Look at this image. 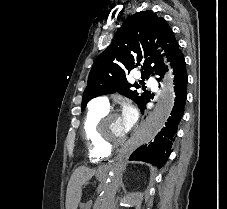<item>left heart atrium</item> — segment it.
I'll return each mask as SVG.
<instances>
[{"mask_svg":"<svg viewBox=\"0 0 227 209\" xmlns=\"http://www.w3.org/2000/svg\"><path fill=\"white\" fill-rule=\"evenodd\" d=\"M137 116L136 108L131 104H125L120 118L124 126L130 130L136 123Z\"/></svg>","mask_w":227,"mask_h":209,"instance_id":"left-heart-atrium-1","label":"left heart atrium"}]
</instances>
